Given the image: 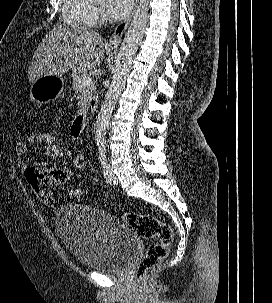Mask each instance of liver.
<instances>
[{
    "instance_id": "obj_1",
    "label": "liver",
    "mask_w": 272,
    "mask_h": 303,
    "mask_svg": "<svg viewBox=\"0 0 272 303\" xmlns=\"http://www.w3.org/2000/svg\"><path fill=\"white\" fill-rule=\"evenodd\" d=\"M105 45L94 30L82 25L60 24L48 32L29 65L31 83L44 76H60L68 71L87 73L104 59Z\"/></svg>"
}]
</instances>
